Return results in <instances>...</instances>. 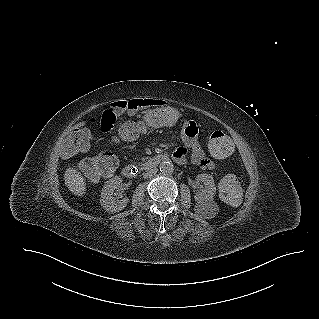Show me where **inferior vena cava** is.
Wrapping results in <instances>:
<instances>
[{
	"label": "inferior vena cava",
	"mask_w": 319,
	"mask_h": 319,
	"mask_svg": "<svg viewBox=\"0 0 319 319\" xmlns=\"http://www.w3.org/2000/svg\"><path fill=\"white\" fill-rule=\"evenodd\" d=\"M156 173H157V169L153 168V169H150L149 171L143 173V177L144 178H148V177H151L152 175H154Z\"/></svg>",
	"instance_id": "inferior-vena-cava-1"
}]
</instances>
